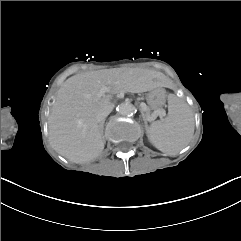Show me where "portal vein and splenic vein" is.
I'll use <instances>...</instances> for the list:
<instances>
[{
    "mask_svg": "<svg viewBox=\"0 0 241 241\" xmlns=\"http://www.w3.org/2000/svg\"><path fill=\"white\" fill-rule=\"evenodd\" d=\"M140 108L142 109V114L144 116V119L147 122H155V120L158 116L164 117V110H156L151 115H149V112L147 111V105L144 102L140 103Z\"/></svg>",
    "mask_w": 241,
    "mask_h": 241,
    "instance_id": "obj_1",
    "label": "portal vein and splenic vein"
}]
</instances>
